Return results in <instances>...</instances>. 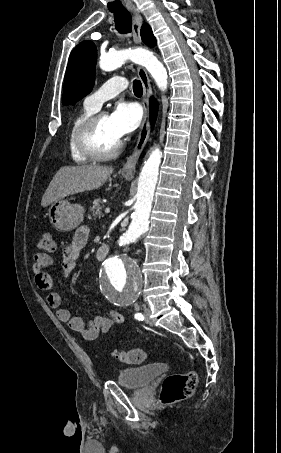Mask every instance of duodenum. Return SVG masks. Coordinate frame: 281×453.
<instances>
[{
	"mask_svg": "<svg viewBox=\"0 0 281 453\" xmlns=\"http://www.w3.org/2000/svg\"><path fill=\"white\" fill-rule=\"evenodd\" d=\"M108 253H109L108 246L105 245V244H102V245L99 246V248L96 251V258L99 261H102V260H104L107 257Z\"/></svg>",
	"mask_w": 281,
	"mask_h": 453,
	"instance_id": "410a0bca",
	"label": "duodenum"
}]
</instances>
